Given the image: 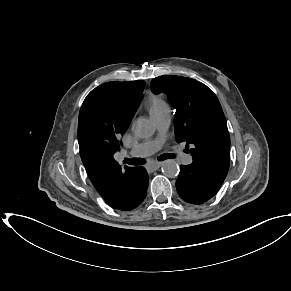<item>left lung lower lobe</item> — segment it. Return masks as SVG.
<instances>
[{
    "instance_id": "1",
    "label": "left lung lower lobe",
    "mask_w": 291,
    "mask_h": 291,
    "mask_svg": "<svg viewBox=\"0 0 291 291\" xmlns=\"http://www.w3.org/2000/svg\"><path fill=\"white\" fill-rule=\"evenodd\" d=\"M223 181L194 164L181 165L176 189L184 201L202 204L216 195Z\"/></svg>"
}]
</instances>
